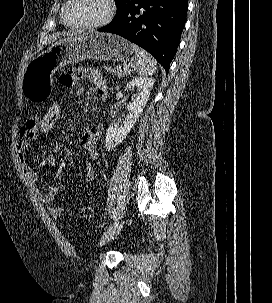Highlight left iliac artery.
Segmentation results:
<instances>
[{"label": "left iliac artery", "instance_id": "44dca946", "mask_svg": "<svg viewBox=\"0 0 272 303\" xmlns=\"http://www.w3.org/2000/svg\"><path fill=\"white\" fill-rule=\"evenodd\" d=\"M115 224H116V221L112 220L111 221V225L108 228H106L105 233H107L108 231L112 230L115 227Z\"/></svg>", "mask_w": 272, "mask_h": 303}]
</instances>
